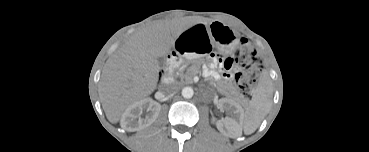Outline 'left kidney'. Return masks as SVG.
I'll return each instance as SVG.
<instances>
[{
    "mask_svg": "<svg viewBox=\"0 0 369 152\" xmlns=\"http://www.w3.org/2000/svg\"><path fill=\"white\" fill-rule=\"evenodd\" d=\"M218 106L220 109L231 112V116L227 117V124L230 126V128L237 129L241 121L244 119L243 108L237 102L226 98L220 99ZM216 125L217 127L220 126L218 123H216Z\"/></svg>",
    "mask_w": 369,
    "mask_h": 152,
    "instance_id": "obj_1",
    "label": "left kidney"
}]
</instances>
